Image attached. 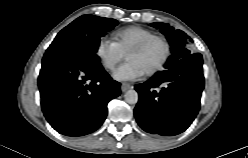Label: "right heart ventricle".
Returning <instances> with one entry per match:
<instances>
[{
    "label": "right heart ventricle",
    "mask_w": 248,
    "mask_h": 158,
    "mask_svg": "<svg viewBox=\"0 0 248 158\" xmlns=\"http://www.w3.org/2000/svg\"><path fill=\"white\" fill-rule=\"evenodd\" d=\"M153 35V32L141 26H129L116 30L113 38L124 54L144 38Z\"/></svg>",
    "instance_id": "1"
}]
</instances>
